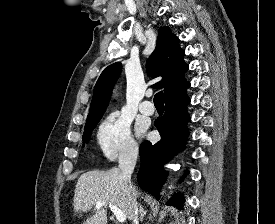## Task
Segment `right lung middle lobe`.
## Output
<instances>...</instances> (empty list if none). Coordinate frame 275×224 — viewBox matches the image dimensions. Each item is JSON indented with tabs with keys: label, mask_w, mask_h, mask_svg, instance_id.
Masks as SVG:
<instances>
[{
	"label": "right lung middle lobe",
	"mask_w": 275,
	"mask_h": 224,
	"mask_svg": "<svg viewBox=\"0 0 275 224\" xmlns=\"http://www.w3.org/2000/svg\"><path fill=\"white\" fill-rule=\"evenodd\" d=\"M100 119L95 120L87 125H85V129H84V136H83V142H88L89 137L91 136V132L93 131L94 127L96 126V124L98 123Z\"/></svg>",
	"instance_id": "right-lung-middle-lobe-1"
}]
</instances>
